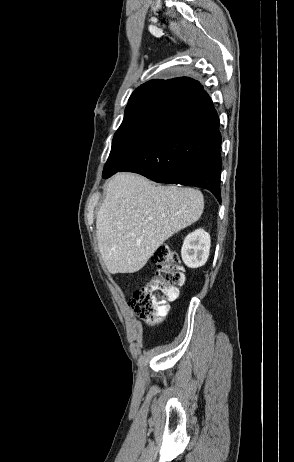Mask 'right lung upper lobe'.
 Returning a JSON list of instances; mask_svg holds the SVG:
<instances>
[{
    "mask_svg": "<svg viewBox=\"0 0 294 462\" xmlns=\"http://www.w3.org/2000/svg\"><path fill=\"white\" fill-rule=\"evenodd\" d=\"M204 92L203 87L198 81L188 77L166 81L150 80L135 89L129 98L126 109L166 95L176 94L183 98H187L189 94L201 95Z\"/></svg>",
    "mask_w": 294,
    "mask_h": 462,
    "instance_id": "obj_1",
    "label": "right lung upper lobe"
}]
</instances>
